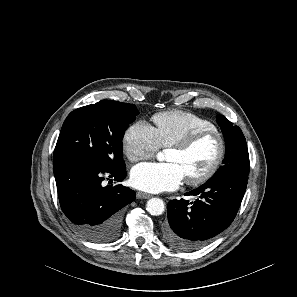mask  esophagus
I'll return each instance as SVG.
<instances>
[{
    "instance_id": "esophagus-1",
    "label": "esophagus",
    "mask_w": 297,
    "mask_h": 297,
    "mask_svg": "<svg viewBox=\"0 0 297 297\" xmlns=\"http://www.w3.org/2000/svg\"><path fill=\"white\" fill-rule=\"evenodd\" d=\"M151 195L148 193H144V192H137V198L138 199H148L150 198Z\"/></svg>"
}]
</instances>
